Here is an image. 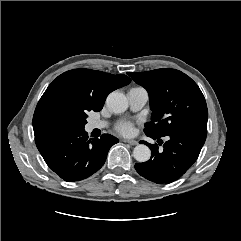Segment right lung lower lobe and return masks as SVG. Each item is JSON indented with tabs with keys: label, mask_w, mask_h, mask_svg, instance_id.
Instances as JSON below:
<instances>
[{
	"label": "right lung lower lobe",
	"mask_w": 241,
	"mask_h": 241,
	"mask_svg": "<svg viewBox=\"0 0 241 241\" xmlns=\"http://www.w3.org/2000/svg\"><path fill=\"white\" fill-rule=\"evenodd\" d=\"M35 142L50 169L65 181L74 182L97 172L118 139L109 134L88 139L84 128H67L35 135Z\"/></svg>",
	"instance_id": "98d812e1"
}]
</instances>
